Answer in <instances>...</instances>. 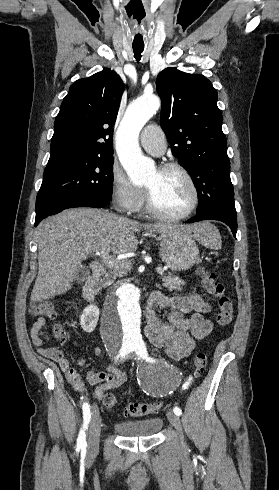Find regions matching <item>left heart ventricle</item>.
Masks as SVG:
<instances>
[{
  "label": "left heart ventricle",
  "mask_w": 279,
  "mask_h": 490,
  "mask_svg": "<svg viewBox=\"0 0 279 490\" xmlns=\"http://www.w3.org/2000/svg\"><path fill=\"white\" fill-rule=\"evenodd\" d=\"M147 187L157 208L166 214H178L190 204L192 191L186 179L178 172L156 170Z\"/></svg>",
  "instance_id": "b2bd125f"
}]
</instances>
